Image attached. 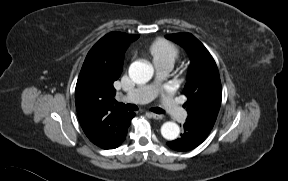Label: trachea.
Listing matches in <instances>:
<instances>
[{
    "instance_id": "3493384b",
    "label": "trachea",
    "mask_w": 288,
    "mask_h": 181,
    "mask_svg": "<svg viewBox=\"0 0 288 181\" xmlns=\"http://www.w3.org/2000/svg\"><path fill=\"white\" fill-rule=\"evenodd\" d=\"M116 106L117 107H121V108H124L126 110H129V111H136L138 110V107L135 105V104H123V103H118L116 102ZM152 112H155L157 114H162L164 113V110L159 108V107H153L150 109Z\"/></svg>"
}]
</instances>
